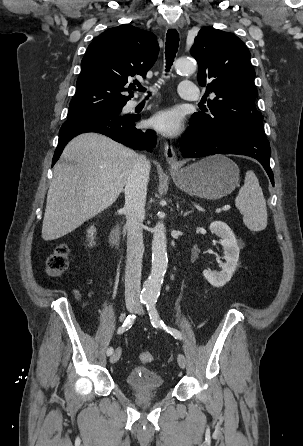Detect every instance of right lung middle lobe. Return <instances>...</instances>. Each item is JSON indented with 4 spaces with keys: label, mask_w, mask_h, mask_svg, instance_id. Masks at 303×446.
I'll list each match as a JSON object with an SVG mask.
<instances>
[{
    "label": "right lung middle lobe",
    "mask_w": 303,
    "mask_h": 446,
    "mask_svg": "<svg viewBox=\"0 0 303 446\" xmlns=\"http://www.w3.org/2000/svg\"><path fill=\"white\" fill-rule=\"evenodd\" d=\"M124 105L125 104L100 107V108H97L90 112H105V113H111V114H119ZM85 113H89V112H85L83 109L76 107V106H74V107L69 106V113H68L67 118L77 116L80 114H85Z\"/></svg>",
    "instance_id": "dd1d6c3e"
}]
</instances>
